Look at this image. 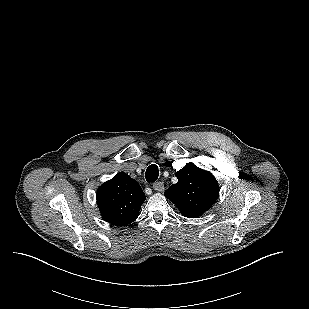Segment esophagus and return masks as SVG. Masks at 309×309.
Here are the masks:
<instances>
[{
    "label": "esophagus",
    "mask_w": 309,
    "mask_h": 309,
    "mask_svg": "<svg viewBox=\"0 0 309 309\" xmlns=\"http://www.w3.org/2000/svg\"><path fill=\"white\" fill-rule=\"evenodd\" d=\"M153 189L155 190V191H159V192H162L163 190H164V184H163V182H155L154 184H153Z\"/></svg>",
    "instance_id": "1"
}]
</instances>
